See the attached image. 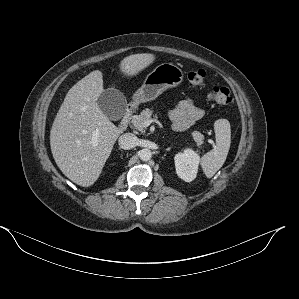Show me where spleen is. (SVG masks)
Returning <instances> with one entry per match:
<instances>
[{
	"mask_svg": "<svg viewBox=\"0 0 299 299\" xmlns=\"http://www.w3.org/2000/svg\"><path fill=\"white\" fill-rule=\"evenodd\" d=\"M215 147L202 156L201 166L207 178H211L224 164L231 144V129L227 119L214 123Z\"/></svg>",
	"mask_w": 299,
	"mask_h": 299,
	"instance_id": "1",
	"label": "spleen"
}]
</instances>
